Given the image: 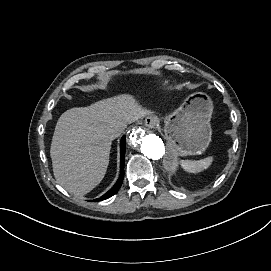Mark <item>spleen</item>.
Masks as SVG:
<instances>
[{"instance_id":"spleen-1","label":"spleen","mask_w":271,"mask_h":271,"mask_svg":"<svg viewBox=\"0 0 271 271\" xmlns=\"http://www.w3.org/2000/svg\"><path fill=\"white\" fill-rule=\"evenodd\" d=\"M213 161V158L207 157L201 160H182L181 161V166L183 169H185L187 172L191 173H197L200 172L204 169H207Z\"/></svg>"}]
</instances>
